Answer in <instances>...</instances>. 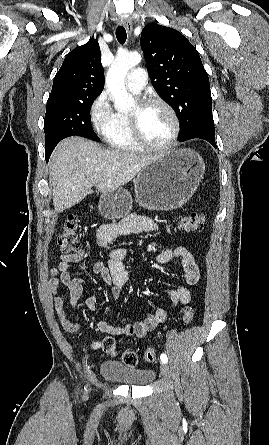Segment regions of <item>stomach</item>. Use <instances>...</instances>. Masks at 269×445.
I'll use <instances>...</instances> for the list:
<instances>
[{"mask_svg": "<svg viewBox=\"0 0 269 445\" xmlns=\"http://www.w3.org/2000/svg\"><path fill=\"white\" fill-rule=\"evenodd\" d=\"M205 163L190 149L169 150L158 155L134 180L135 197L143 208L168 211L186 204L203 179ZM130 193L117 188L103 193L98 208L101 215L116 221L132 209Z\"/></svg>", "mask_w": 269, "mask_h": 445, "instance_id": "1", "label": "stomach"}]
</instances>
